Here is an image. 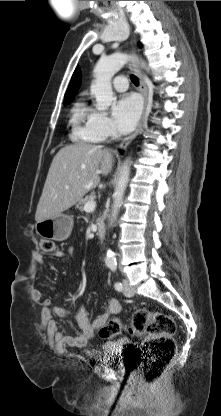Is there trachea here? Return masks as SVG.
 <instances>
[{
	"instance_id": "1",
	"label": "trachea",
	"mask_w": 221,
	"mask_h": 416,
	"mask_svg": "<svg viewBox=\"0 0 221 416\" xmlns=\"http://www.w3.org/2000/svg\"><path fill=\"white\" fill-rule=\"evenodd\" d=\"M131 81L136 85V86H138V84H139V79L136 77V76H134V75H131Z\"/></svg>"
}]
</instances>
